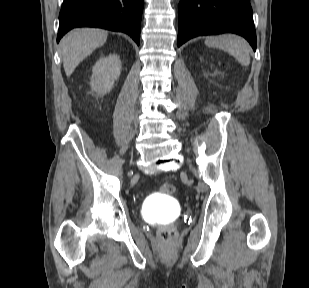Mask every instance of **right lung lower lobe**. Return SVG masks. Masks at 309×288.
Instances as JSON below:
<instances>
[{
  "label": "right lung lower lobe",
  "instance_id": "1",
  "mask_svg": "<svg viewBox=\"0 0 309 288\" xmlns=\"http://www.w3.org/2000/svg\"><path fill=\"white\" fill-rule=\"evenodd\" d=\"M144 0H64L57 42L75 27H98L129 34L139 45Z\"/></svg>",
  "mask_w": 309,
  "mask_h": 288
}]
</instances>
